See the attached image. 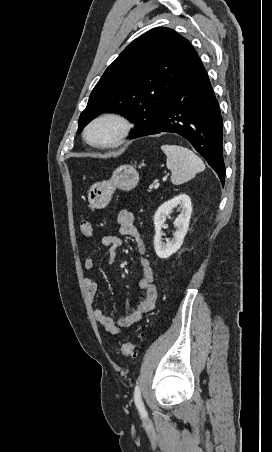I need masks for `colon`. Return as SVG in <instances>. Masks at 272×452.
I'll use <instances>...</instances> for the list:
<instances>
[{
    "label": "colon",
    "instance_id": "obj_1",
    "mask_svg": "<svg viewBox=\"0 0 272 452\" xmlns=\"http://www.w3.org/2000/svg\"><path fill=\"white\" fill-rule=\"evenodd\" d=\"M80 229L85 237H91L93 235L92 225L87 220H82L80 222ZM134 352L135 344L133 342H126L119 349V354L123 357H132L134 356Z\"/></svg>",
    "mask_w": 272,
    "mask_h": 452
}]
</instances>
